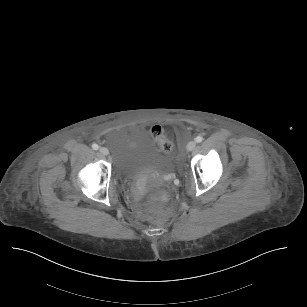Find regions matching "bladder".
<instances>
[{
  "label": "bladder",
  "instance_id": "obj_1",
  "mask_svg": "<svg viewBox=\"0 0 307 307\" xmlns=\"http://www.w3.org/2000/svg\"><path fill=\"white\" fill-rule=\"evenodd\" d=\"M171 155L152 146H133L120 158V170L126 178H136L160 164L171 163Z\"/></svg>",
  "mask_w": 307,
  "mask_h": 307
}]
</instances>
